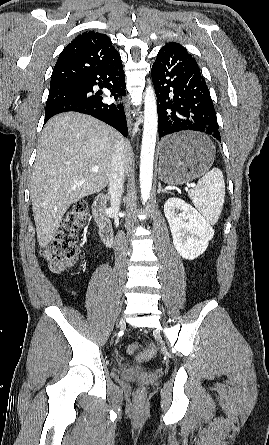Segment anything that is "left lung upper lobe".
I'll return each instance as SVG.
<instances>
[{
	"instance_id": "obj_1",
	"label": "left lung upper lobe",
	"mask_w": 269,
	"mask_h": 445,
	"mask_svg": "<svg viewBox=\"0 0 269 445\" xmlns=\"http://www.w3.org/2000/svg\"><path fill=\"white\" fill-rule=\"evenodd\" d=\"M173 47H182V46L178 43L171 42V43H167L164 47H162V49L173 48Z\"/></svg>"
}]
</instances>
